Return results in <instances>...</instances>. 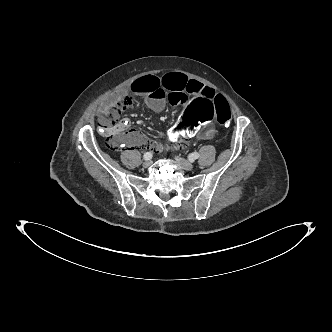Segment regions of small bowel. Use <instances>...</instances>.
<instances>
[{"label": "small bowel", "mask_w": 332, "mask_h": 332, "mask_svg": "<svg viewBox=\"0 0 332 332\" xmlns=\"http://www.w3.org/2000/svg\"><path fill=\"white\" fill-rule=\"evenodd\" d=\"M130 92H135L140 98L145 99L147 107L155 112L163 111L167 102L181 106L187 99L195 95H202L211 103H213L214 100V92L212 89L199 81L189 79L182 73L169 72L162 76H142L134 80L128 88L117 93L112 100L104 103L100 107L97 118L104 129L103 115L106 109L119 99L128 96ZM118 131L121 134L122 143L128 149L150 143L139 130L130 127L128 119H123L118 123ZM214 135L215 129L211 121L202 134L194 137L201 140H209L212 139ZM183 142L184 141L180 143ZM151 144L158 149L161 148L160 144Z\"/></svg>", "instance_id": "1"}]
</instances>
